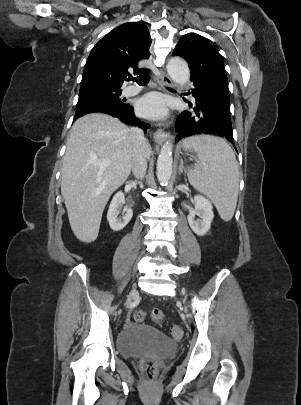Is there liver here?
I'll return each instance as SVG.
<instances>
[{
    "mask_svg": "<svg viewBox=\"0 0 301 405\" xmlns=\"http://www.w3.org/2000/svg\"><path fill=\"white\" fill-rule=\"evenodd\" d=\"M134 139L117 118L93 113L75 121L67 140L61 193L75 236L86 243L99 233L104 208L132 169ZM146 158L151 146L145 145ZM108 166H100L103 161Z\"/></svg>",
    "mask_w": 301,
    "mask_h": 405,
    "instance_id": "obj_1",
    "label": "liver"
}]
</instances>
